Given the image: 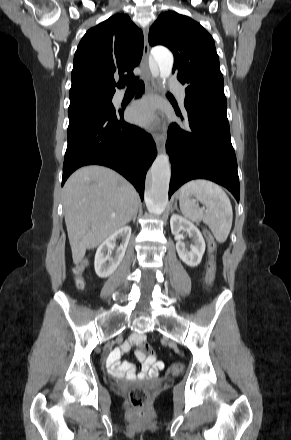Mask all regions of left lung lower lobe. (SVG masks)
Listing matches in <instances>:
<instances>
[{"instance_id":"1","label":"left lung lower lobe","mask_w":291,"mask_h":440,"mask_svg":"<svg viewBox=\"0 0 291 440\" xmlns=\"http://www.w3.org/2000/svg\"><path fill=\"white\" fill-rule=\"evenodd\" d=\"M184 126L171 124L166 150L171 158L169 198L192 179H208L226 187L239 202L237 161L230 140L225 104L185 98Z\"/></svg>"}]
</instances>
